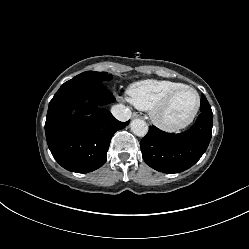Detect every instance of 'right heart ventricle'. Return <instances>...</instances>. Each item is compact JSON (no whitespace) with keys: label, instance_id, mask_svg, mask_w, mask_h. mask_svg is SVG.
I'll return each instance as SVG.
<instances>
[{"label":"right heart ventricle","instance_id":"right-heart-ventricle-1","mask_svg":"<svg viewBox=\"0 0 249 249\" xmlns=\"http://www.w3.org/2000/svg\"><path fill=\"white\" fill-rule=\"evenodd\" d=\"M181 85L184 84L172 80H142L130 87L129 99L137 108L150 110L170 90Z\"/></svg>","mask_w":249,"mask_h":249}]
</instances>
